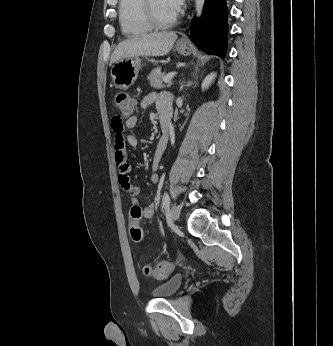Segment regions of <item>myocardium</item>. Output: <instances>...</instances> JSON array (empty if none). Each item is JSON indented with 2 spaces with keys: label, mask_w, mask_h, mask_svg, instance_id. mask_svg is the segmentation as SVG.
<instances>
[{
  "label": "myocardium",
  "mask_w": 333,
  "mask_h": 346,
  "mask_svg": "<svg viewBox=\"0 0 333 346\" xmlns=\"http://www.w3.org/2000/svg\"><path fill=\"white\" fill-rule=\"evenodd\" d=\"M144 1V10L146 17L152 27L158 28V29H165L170 26H172L177 19L176 14H174L172 17L166 20H162L157 17L154 9V3L153 0H143Z\"/></svg>",
  "instance_id": "f54148a6"
}]
</instances>
